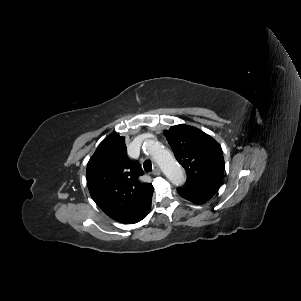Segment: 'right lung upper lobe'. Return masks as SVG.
<instances>
[{
	"label": "right lung upper lobe",
	"instance_id": "1",
	"mask_svg": "<svg viewBox=\"0 0 301 301\" xmlns=\"http://www.w3.org/2000/svg\"><path fill=\"white\" fill-rule=\"evenodd\" d=\"M143 171L127 157L125 137L104 139L87 164L86 179L95 203L112 219L132 223L149 205L152 184L139 182Z\"/></svg>",
	"mask_w": 301,
	"mask_h": 301
}]
</instances>
